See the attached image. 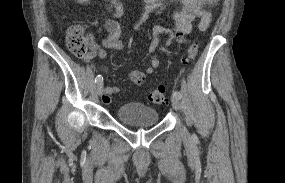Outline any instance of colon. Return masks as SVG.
Wrapping results in <instances>:
<instances>
[{
	"label": "colon",
	"mask_w": 285,
	"mask_h": 183,
	"mask_svg": "<svg viewBox=\"0 0 285 183\" xmlns=\"http://www.w3.org/2000/svg\"><path fill=\"white\" fill-rule=\"evenodd\" d=\"M67 47L70 52L79 58L85 57L89 51L90 39L85 34V31L81 25L75 24L67 29L66 36ZM199 45L193 42L187 49L186 62L193 60L198 54ZM149 100L155 104H165L168 102L169 97L165 88H158L149 93Z\"/></svg>",
	"instance_id": "1"
}]
</instances>
